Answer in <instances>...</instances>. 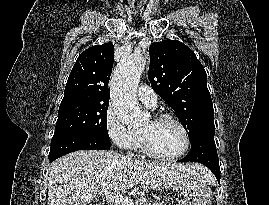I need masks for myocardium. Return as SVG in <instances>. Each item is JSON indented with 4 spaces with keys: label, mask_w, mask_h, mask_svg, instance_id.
Listing matches in <instances>:
<instances>
[{
    "label": "myocardium",
    "mask_w": 269,
    "mask_h": 205,
    "mask_svg": "<svg viewBox=\"0 0 269 205\" xmlns=\"http://www.w3.org/2000/svg\"><path fill=\"white\" fill-rule=\"evenodd\" d=\"M166 120L171 121L174 124H176L184 136L185 144H184L183 149L180 152L173 154V155L160 154L150 146L147 139L142 135H141V143H142L143 152L146 155H148L149 157H152V158L158 159V160L169 161V160H175V159H178V158L184 156L188 152V150L191 146V139H190V135H189V132H188L186 126L176 116L169 114V113H160V114L156 115L153 119L154 122H161V121H166Z\"/></svg>",
    "instance_id": "myocardium-1"
}]
</instances>
